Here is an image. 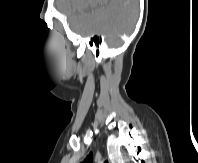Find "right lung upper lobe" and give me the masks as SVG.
Returning <instances> with one entry per match:
<instances>
[{
	"instance_id": "1",
	"label": "right lung upper lobe",
	"mask_w": 198,
	"mask_h": 163,
	"mask_svg": "<svg viewBox=\"0 0 198 163\" xmlns=\"http://www.w3.org/2000/svg\"><path fill=\"white\" fill-rule=\"evenodd\" d=\"M92 160V153H90L82 163H92Z\"/></svg>"
}]
</instances>
